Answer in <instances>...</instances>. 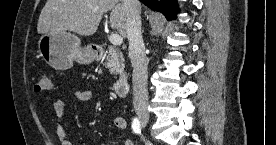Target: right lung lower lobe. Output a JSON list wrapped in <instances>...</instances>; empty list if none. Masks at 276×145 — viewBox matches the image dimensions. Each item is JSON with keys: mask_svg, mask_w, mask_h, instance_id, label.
Wrapping results in <instances>:
<instances>
[{"mask_svg": "<svg viewBox=\"0 0 276 145\" xmlns=\"http://www.w3.org/2000/svg\"><path fill=\"white\" fill-rule=\"evenodd\" d=\"M149 8L159 11L165 15L168 20L175 19L178 12L176 0H140Z\"/></svg>", "mask_w": 276, "mask_h": 145, "instance_id": "98d812e1", "label": "right lung lower lobe"}]
</instances>
